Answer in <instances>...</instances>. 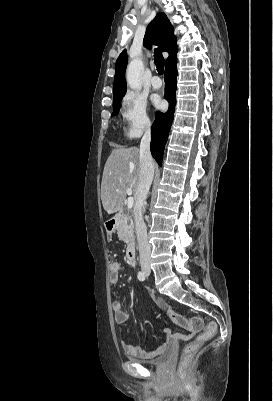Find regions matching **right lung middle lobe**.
Segmentation results:
<instances>
[{"instance_id": "right-lung-middle-lobe-1", "label": "right lung middle lobe", "mask_w": 273, "mask_h": 401, "mask_svg": "<svg viewBox=\"0 0 273 401\" xmlns=\"http://www.w3.org/2000/svg\"><path fill=\"white\" fill-rule=\"evenodd\" d=\"M118 112H119V106L114 107V108H113L112 116H113V115H116Z\"/></svg>"}]
</instances>
